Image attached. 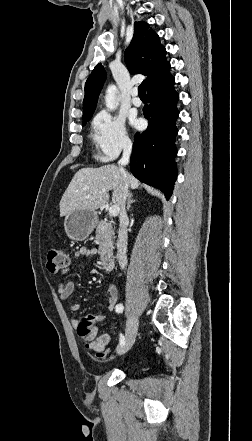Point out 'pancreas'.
<instances>
[{"label":"pancreas","instance_id":"pancreas-1","mask_svg":"<svg viewBox=\"0 0 252 441\" xmlns=\"http://www.w3.org/2000/svg\"><path fill=\"white\" fill-rule=\"evenodd\" d=\"M114 238L115 232L111 222L107 219L99 221L96 228V240L99 244L98 254L101 261H106L112 255Z\"/></svg>","mask_w":252,"mask_h":441}]
</instances>
